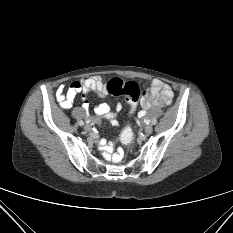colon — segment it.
<instances>
[{"mask_svg": "<svg viewBox=\"0 0 233 233\" xmlns=\"http://www.w3.org/2000/svg\"><path fill=\"white\" fill-rule=\"evenodd\" d=\"M107 87L110 94L114 96H125L129 114L135 112L138 100L142 94V90L136 82L113 78L107 83ZM121 140L125 144H131L134 141V134L130 125L127 124L123 128L121 132Z\"/></svg>", "mask_w": 233, "mask_h": 233, "instance_id": "5ec220e1", "label": "colon"}]
</instances>
